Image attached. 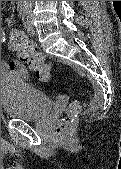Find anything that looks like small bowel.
Returning <instances> with one entry per match:
<instances>
[{"instance_id": "c3829d8e", "label": "small bowel", "mask_w": 121, "mask_h": 169, "mask_svg": "<svg viewBox=\"0 0 121 169\" xmlns=\"http://www.w3.org/2000/svg\"><path fill=\"white\" fill-rule=\"evenodd\" d=\"M1 69L4 71H12L20 74H25L26 70L24 64L19 61H11V62H2Z\"/></svg>"}]
</instances>
